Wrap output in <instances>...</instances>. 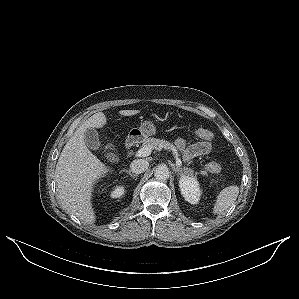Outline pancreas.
<instances>
[{
  "label": "pancreas",
  "instance_id": "pancreas-1",
  "mask_svg": "<svg viewBox=\"0 0 299 299\" xmlns=\"http://www.w3.org/2000/svg\"><path fill=\"white\" fill-rule=\"evenodd\" d=\"M143 146L146 147V146H149L151 147L152 149H158V148H161V149H165V150H168V151H172L175 155L178 156V152L176 150V147L171 144L170 142L166 141V140H161V139H157V138H146L143 140ZM182 169V173L183 174H186V175H189V176H196L197 173H194V171L190 168H181ZM201 175H206L207 173L202 171L200 172Z\"/></svg>",
  "mask_w": 299,
  "mask_h": 299
}]
</instances>
